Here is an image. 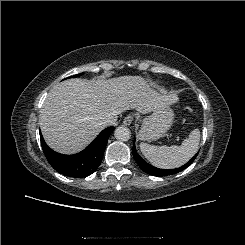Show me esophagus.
I'll list each match as a JSON object with an SVG mask.
<instances>
[{
  "instance_id": "obj_1",
  "label": "esophagus",
  "mask_w": 245,
  "mask_h": 245,
  "mask_svg": "<svg viewBox=\"0 0 245 245\" xmlns=\"http://www.w3.org/2000/svg\"><path fill=\"white\" fill-rule=\"evenodd\" d=\"M132 121H133V116H132V115H128V116H126V117L124 118L123 124H124L125 126H129V125L132 123Z\"/></svg>"
}]
</instances>
